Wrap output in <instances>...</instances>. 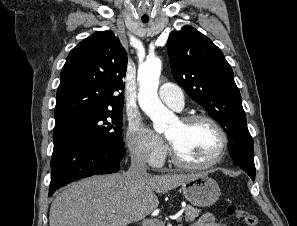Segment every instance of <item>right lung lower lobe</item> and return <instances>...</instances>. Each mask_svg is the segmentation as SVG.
<instances>
[{
	"label": "right lung lower lobe",
	"mask_w": 297,
	"mask_h": 226,
	"mask_svg": "<svg viewBox=\"0 0 297 226\" xmlns=\"http://www.w3.org/2000/svg\"><path fill=\"white\" fill-rule=\"evenodd\" d=\"M53 142L49 196L80 178L117 172L126 154L124 147L76 134L54 136Z\"/></svg>",
	"instance_id": "98d812e1"
}]
</instances>
